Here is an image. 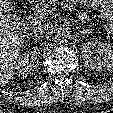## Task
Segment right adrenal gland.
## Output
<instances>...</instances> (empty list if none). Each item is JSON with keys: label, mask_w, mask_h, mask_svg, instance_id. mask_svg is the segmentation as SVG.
I'll use <instances>...</instances> for the list:
<instances>
[{"label": "right adrenal gland", "mask_w": 113, "mask_h": 113, "mask_svg": "<svg viewBox=\"0 0 113 113\" xmlns=\"http://www.w3.org/2000/svg\"><path fill=\"white\" fill-rule=\"evenodd\" d=\"M31 38H32V39H38L39 36H37V35H33V36H31Z\"/></svg>", "instance_id": "obj_1"}]
</instances>
